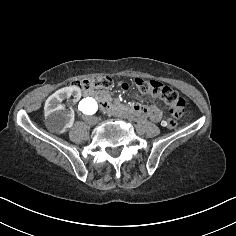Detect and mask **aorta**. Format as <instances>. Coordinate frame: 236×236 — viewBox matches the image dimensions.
<instances>
[{"label":"aorta","instance_id":"762f6f07","mask_svg":"<svg viewBox=\"0 0 236 236\" xmlns=\"http://www.w3.org/2000/svg\"><path fill=\"white\" fill-rule=\"evenodd\" d=\"M79 110L83 117L92 116L98 111V103L96 99L86 97L81 101Z\"/></svg>","mask_w":236,"mask_h":236}]
</instances>
